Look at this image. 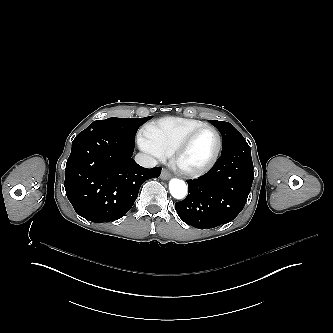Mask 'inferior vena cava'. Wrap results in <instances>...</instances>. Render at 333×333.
<instances>
[{"label":"inferior vena cava","instance_id":"1","mask_svg":"<svg viewBox=\"0 0 333 333\" xmlns=\"http://www.w3.org/2000/svg\"><path fill=\"white\" fill-rule=\"evenodd\" d=\"M135 161L139 165H141L142 167H145V168H152L157 165L156 159H154L153 157H151L150 155H147L145 153H138L135 156Z\"/></svg>","mask_w":333,"mask_h":333}]
</instances>
